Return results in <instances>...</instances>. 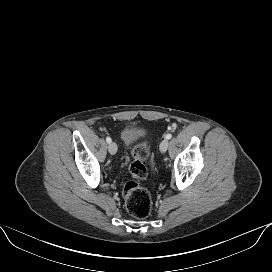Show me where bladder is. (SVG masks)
Segmentation results:
<instances>
[{
  "label": "bladder",
  "mask_w": 272,
  "mask_h": 272,
  "mask_svg": "<svg viewBox=\"0 0 272 272\" xmlns=\"http://www.w3.org/2000/svg\"><path fill=\"white\" fill-rule=\"evenodd\" d=\"M144 131L135 126H128L122 131V138L127 146H132L143 136Z\"/></svg>",
  "instance_id": "obj_1"
}]
</instances>
